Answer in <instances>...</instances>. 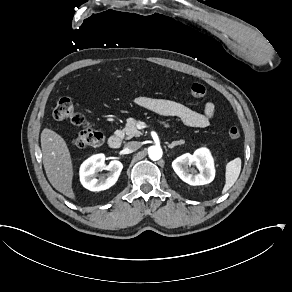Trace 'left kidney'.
Listing matches in <instances>:
<instances>
[{
	"label": "left kidney",
	"instance_id": "1",
	"mask_svg": "<svg viewBox=\"0 0 292 292\" xmlns=\"http://www.w3.org/2000/svg\"><path fill=\"white\" fill-rule=\"evenodd\" d=\"M195 166L197 171L188 172ZM175 173L187 184L201 186L214 180L215 170L213 160L206 149L197 150L193 155L184 154L172 162Z\"/></svg>",
	"mask_w": 292,
	"mask_h": 292
}]
</instances>
